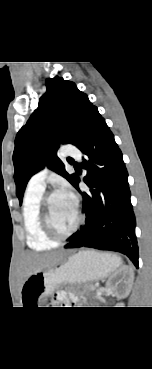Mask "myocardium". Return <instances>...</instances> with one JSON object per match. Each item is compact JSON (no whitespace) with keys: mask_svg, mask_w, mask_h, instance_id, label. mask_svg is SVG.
Wrapping results in <instances>:
<instances>
[{"mask_svg":"<svg viewBox=\"0 0 152 369\" xmlns=\"http://www.w3.org/2000/svg\"><path fill=\"white\" fill-rule=\"evenodd\" d=\"M58 194L57 191L49 192L45 195H43L41 202H40V219H41V225L46 233V235L56 241H63L71 237L73 234H75L80 226L83 223L84 216L81 213V210L79 208L78 203L76 202V213H77V219L74 224V226L66 233H60L56 230V228L53 225L52 219H51V212H50V200L51 198Z\"/></svg>","mask_w":152,"mask_h":369,"instance_id":"f54148a6","label":"myocardium"}]
</instances>
